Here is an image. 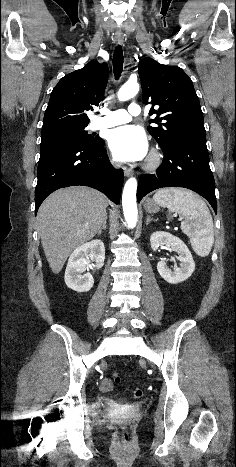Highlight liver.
Masks as SVG:
<instances>
[{
  "label": "liver",
  "instance_id": "liver-1",
  "mask_svg": "<svg viewBox=\"0 0 236 467\" xmlns=\"http://www.w3.org/2000/svg\"><path fill=\"white\" fill-rule=\"evenodd\" d=\"M108 200L101 192L83 186L59 189L38 210V231L53 273L58 274L69 255L91 240L106 218Z\"/></svg>",
  "mask_w": 236,
  "mask_h": 467
}]
</instances>
